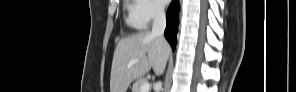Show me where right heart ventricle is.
Returning a JSON list of instances; mask_svg holds the SVG:
<instances>
[{
  "mask_svg": "<svg viewBox=\"0 0 296 92\" xmlns=\"http://www.w3.org/2000/svg\"><path fill=\"white\" fill-rule=\"evenodd\" d=\"M128 17L126 19V22L129 26H131L134 29H141L144 26H142L136 19L135 17V13H134V6H132L131 4H128Z\"/></svg>",
  "mask_w": 296,
  "mask_h": 92,
  "instance_id": "1",
  "label": "right heart ventricle"
}]
</instances>
